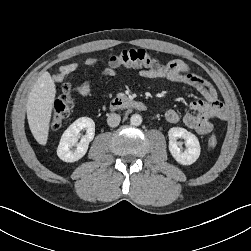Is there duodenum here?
I'll use <instances>...</instances> for the list:
<instances>
[{"label": "duodenum", "instance_id": "duodenum-1", "mask_svg": "<svg viewBox=\"0 0 251 251\" xmlns=\"http://www.w3.org/2000/svg\"><path fill=\"white\" fill-rule=\"evenodd\" d=\"M109 109L111 111H116L120 109H136V110H145L146 106L143 102L132 100L127 97H116L111 100L109 104Z\"/></svg>", "mask_w": 251, "mask_h": 251}]
</instances>
